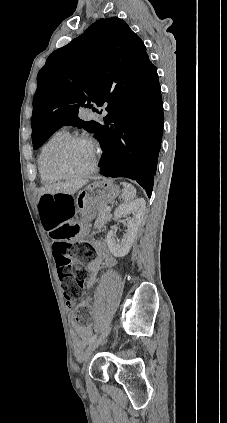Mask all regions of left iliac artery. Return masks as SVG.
I'll list each match as a JSON object with an SVG mask.
<instances>
[{
	"instance_id": "1",
	"label": "left iliac artery",
	"mask_w": 227,
	"mask_h": 423,
	"mask_svg": "<svg viewBox=\"0 0 227 423\" xmlns=\"http://www.w3.org/2000/svg\"><path fill=\"white\" fill-rule=\"evenodd\" d=\"M98 335H99V334H95L94 336H92V337L90 338V340H89V345H90V344H92L93 342H95V341L97 340Z\"/></svg>"
}]
</instances>
